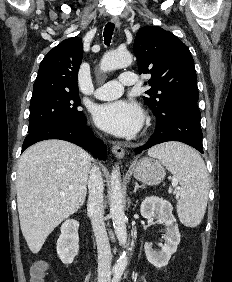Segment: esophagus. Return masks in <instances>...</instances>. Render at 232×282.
<instances>
[{"mask_svg": "<svg viewBox=\"0 0 232 282\" xmlns=\"http://www.w3.org/2000/svg\"><path fill=\"white\" fill-rule=\"evenodd\" d=\"M111 22L116 26V28H118V29L120 28L121 22H120L119 18L112 17ZM112 152L115 154V156L117 158H120V159L123 158L124 154H125L124 149L118 144H114L112 146Z\"/></svg>", "mask_w": 232, "mask_h": 282, "instance_id": "obj_1", "label": "esophagus"}]
</instances>
